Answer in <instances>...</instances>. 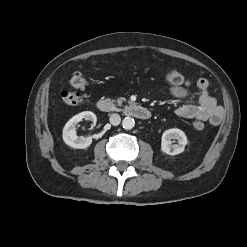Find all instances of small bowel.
Wrapping results in <instances>:
<instances>
[{
	"instance_id": "small-bowel-1",
	"label": "small bowel",
	"mask_w": 247,
	"mask_h": 247,
	"mask_svg": "<svg viewBox=\"0 0 247 247\" xmlns=\"http://www.w3.org/2000/svg\"><path fill=\"white\" fill-rule=\"evenodd\" d=\"M193 83L185 80L181 85H172L170 94L182 104L175 110L177 116L185 119L209 121L213 125H218L223 119V108L216 99L209 93V83L206 79L200 78L195 85L198 89V101L196 104L189 102V87Z\"/></svg>"
}]
</instances>
